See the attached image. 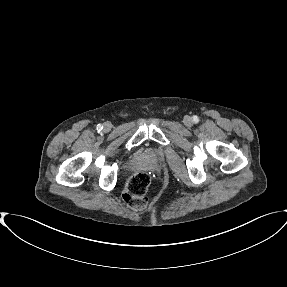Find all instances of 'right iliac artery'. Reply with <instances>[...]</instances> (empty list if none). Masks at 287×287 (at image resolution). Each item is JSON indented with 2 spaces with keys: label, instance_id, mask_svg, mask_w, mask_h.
I'll return each mask as SVG.
<instances>
[{
  "label": "right iliac artery",
  "instance_id": "right-iliac-artery-1",
  "mask_svg": "<svg viewBox=\"0 0 287 287\" xmlns=\"http://www.w3.org/2000/svg\"><path fill=\"white\" fill-rule=\"evenodd\" d=\"M102 129H103V126H102L101 124H98V125H97V130H98V131H101Z\"/></svg>",
  "mask_w": 287,
  "mask_h": 287
}]
</instances>
